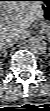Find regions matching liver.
<instances>
[{
	"label": "liver",
	"mask_w": 50,
	"mask_h": 111,
	"mask_svg": "<svg viewBox=\"0 0 50 111\" xmlns=\"http://www.w3.org/2000/svg\"><path fill=\"white\" fill-rule=\"evenodd\" d=\"M0 41L7 36L25 39L30 25L42 17L41 3L33 0L1 1Z\"/></svg>",
	"instance_id": "obj_1"
}]
</instances>
